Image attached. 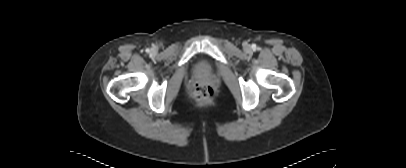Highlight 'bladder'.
<instances>
[{"label": "bladder", "instance_id": "obj_1", "mask_svg": "<svg viewBox=\"0 0 406 168\" xmlns=\"http://www.w3.org/2000/svg\"><path fill=\"white\" fill-rule=\"evenodd\" d=\"M212 70V67L209 63L205 61H200L195 65V71L199 75H205L210 73Z\"/></svg>", "mask_w": 406, "mask_h": 168}]
</instances>
